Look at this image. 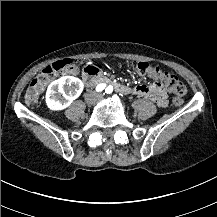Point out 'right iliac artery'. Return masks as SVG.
I'll return each mask as SVG.
<instances>
[{"label":"right iliac artery","mask_w":217,"mask_h":217,"mask_svg":"<svg viewBox=\"0 0 217 217\" xmlns=\"http://www.w3.org/2000/svg\"><path fill=\"white\" fill-rule=\"evenodd\" d=\"M104 88H105V86L104 85H98L97 87H96V91H102V90H104Z\"/></svg>","instance_id":"right-iliac-artery-1"}]
</instances>
